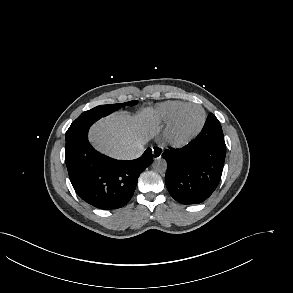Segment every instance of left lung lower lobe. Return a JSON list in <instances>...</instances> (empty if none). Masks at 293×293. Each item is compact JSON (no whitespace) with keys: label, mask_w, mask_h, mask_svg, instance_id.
I'll return each mask as SVG.
<instances>
[{"label":"left lung lower lobe","mask_w":293,"mask_h":293,"mask_svg":"<svg viewBox=\"0 0 293 293\" xmlns=\"http://www.w3.org/2000/svg\"><path fill=\"white\" fill-rule=\"evenodd\" d=\"M226 145L222 128L207 117L200 134L188 145L167 150L165 182L171 196L182 204H197L216 189L223 170Z\"/></svg>","instance_id":"left-lung-lower-lobe-1"}]
</instances>
